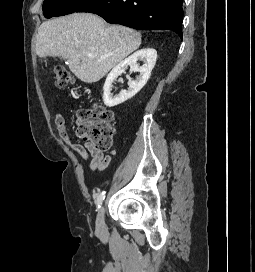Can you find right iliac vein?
Here are the masks:
<instances>
[{"label": "right iliac vein", "mask_w": 255, "mask_h": 272, "mask_svg": "<svg viewBox=\"0 0 255 272\" xmlns=\"http://www.w3.org/2000/svg\"><path fill=\"white\" fill-rule=\"evenodd\" d=\"M96 229L99 233H103L105 231L104 208L103 207L99 210V213H98V217L96 220Z\"/></svg>", "instance_id": "obj_1"}]
</instances>
